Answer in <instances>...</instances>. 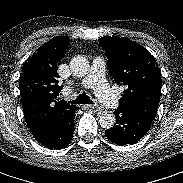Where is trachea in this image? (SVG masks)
<instances>
[{
    "label": "trachea",
    "instance_id": "trachea-1",
    "mask_svg": "<svg viewBox=\"0 0 183 183\" xmlns=\"http://www.w3.org/2000/svg\"><path fill=\"white\" fill-rule=\"evenodd\" d=\"M73 104H94L85 92L81 93L75 100L70 101Z\"/></svg>",
    "mask_w": 183,
    "mask_h": 183
}]
</instances>
